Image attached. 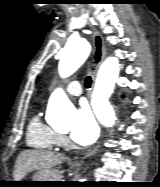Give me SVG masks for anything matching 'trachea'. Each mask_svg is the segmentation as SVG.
I'll use <instances>...</instances> for the list:
<instances>
[{
    "mask_svg": "<svg viewBox=\"0 0 160 187\" xmlns=\"http://www.w3.org/2000/svg\"><path fill=\"white\" fill-rule=\"evenodd\" d=\"M91 84H92V79H91L90 76H87L86 79H85V86L87 88H90Z\"/></svg>",
    "mask_w": 160,
    "mask_h": 187,
    "instance_id": "obj_1",
    "label": "trachea"
}]
</instances>
